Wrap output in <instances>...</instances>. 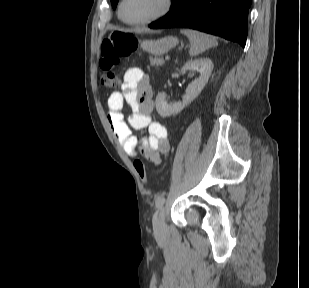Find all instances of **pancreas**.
I'll use <instances>...</instances> for the list:
<instances>
[{
    "label": "pancreas",
    "instance_id": "obj_1",
    "mask_svg": "<svg viewBox=\"0 0 309 288\" xmlns=\"http://www.w3.org/2000/svg\"><path fill=\"white\" fill-rule=\"evenodd\" d=\"M165 63L164 59L162 57H155V58H150V64L152 66H161Z\"/></svg>",
    "mask_w": 309,
    "mask_h": 288
}]
</instances>
